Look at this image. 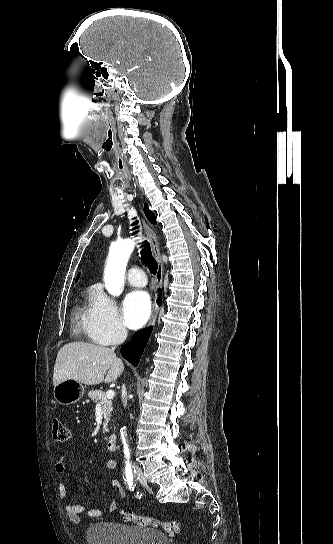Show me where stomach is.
I'll use <instances>...</instances> for the list:
<instances>
[{
    "label": "stomach",
    "instance_id": "stomach-1",
    "mask_svg": "<svg viewBox=\"0 0 333 544\" xmlns=\"http://www.w3.org/2000/svg\"><path fill=\"white\" fill-rule=\"evenodd\" d=\"M84 386L74 379H66L54 386L53 395L61 405L77 403L84 395Z\"/></svg>",
    "mask_w": 333,
    "mask_h": 544
}]
</instances>
